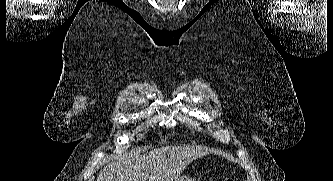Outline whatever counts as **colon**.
I'll use <instances>...</instances> for the list:
<instances>
[{"label":"colon","mask_w":333,"mask_h":181,"mask_svg":"<svg viewBox=\"0 0 333 181\" xmlns=\"http://www.w3.org/2000/svg\"><path fill=\"white\" fill-rule=\"evenodd\" d=\"M224 181H234L232 178H226Z\"/></svg>","instance_id":"colon-1"}]
</instances>
